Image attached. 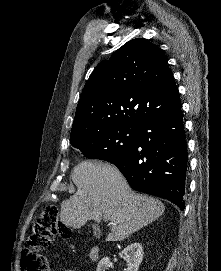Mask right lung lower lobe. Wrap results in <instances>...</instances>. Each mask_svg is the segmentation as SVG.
Returning <instances> with one entry per match:
<instances>
[{"mask_svg":"<svg viewBox=\"0 0 221 271\" xmlns=\"http://www.w3.org/2000/svg\"><path fill=\"white\" fill-rule=\"evenodd\" d=\"M187 144L181 105L139 126L135 145L113 162L136 191L185 208Z\"/></svg>","mask_w":221,"mask_h":271,"instance_id":"obj_1","label":"right lung lower lobe"}]
</instances>
